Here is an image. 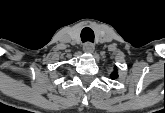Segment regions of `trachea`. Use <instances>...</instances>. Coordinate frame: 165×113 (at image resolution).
<instances>
[{"mask_svg":"<svg viewBox=\"0 0 165 113\" xmlns=\"http://www.w3.org/2000/svg\"><path fill=\"white\" fill-rule=\"evenodd\" d=\"M81 40L82 42H94V32L91 28L85 27L81 31Z\"/></svg>","mask_w":165,"mask_h":113,"instance_id":"trachea-1","label":"trachea"}]
</instances>
